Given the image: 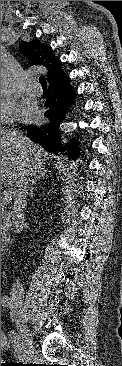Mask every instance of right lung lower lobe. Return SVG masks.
I'll use <instances>...</instances> for the list:
<instances>
[{
    "instance_id": "right-lung-lower-lobe-1",
    "label": "right lung lower lobe",
    "mask_w": 122,
    "mask_h": 366,
    "mask_svg": "<svg viewBox=\"0 0 122 366\" xmlns=\"http://www.w3.org/2000/svg\"><path fill=\"white\" fill-rule=\"evenodd\" d=\"M69 82V77L65 74L59 81L49 84V98L45 103L47 108L45 116L48 118V121L38 127L28 126L27 136L40 143L48 152L57 154L58 152L67 151L70 158L76 159L80 155V149L77 147L78 143L71 140L66 145L62 144L59 129L75 97V92L72 91Z\"/></svg>"
}]
</instances>
